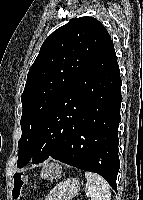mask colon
Here are the masks:
<instances>
[{
  "label": "colon",
  "instance_id": "colon-1",
  "mask_svg": "<svg viewBox=\"0 0 143 200\" xmlns=\"http://www.w3.org/2000/svg\"><path fill=\"white\" fill-rule=\"evenodd\" d=\"M13 180V194L17 197L26 185L27 176L23 172H16Z\"/></svg>",
  "mask_w": 143,
  "mask_h": 200
}]
</instances>
